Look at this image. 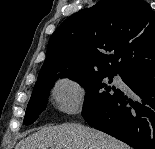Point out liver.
<instances>
[{
	"label": "liver",
	"instance_id": "6515ba94",
	"mask_svg": "<svg viewBox=\"0 0 155 149\" xmlns=\"http://www.w3.org/2000/svg\"><path fill=\"white\" fill-rule=\"evenodd\" d=\"M15 149H130V147L95 129L65 123L40 129L22 139Z\"/></svg>",
	"mask_w": 155,
	"mask_h": 149
}]
</instances>
